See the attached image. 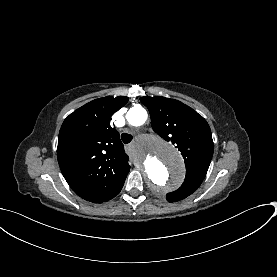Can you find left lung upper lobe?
Wrapping results in <instances>:
<instances>
[{"mask_svg": "<svg viewBox=\"0 0 277 277\" xmlns=\"http://www.w3.org/2000/svg\"><path fill=\"white\" fill-rule=\"evenodd\" d=\"M148 108L153 130L163 139L176 145L186 165L182 186L166 195L176 202L191 195L202 183L214 150L211 130L206 120L180 101L157 97H141Z\"/></svg>", "mask_w": 277, "mask_h": 277, "instance_id": "5c2ea615", "label": "left lung upper lobe"}]
</instances>
